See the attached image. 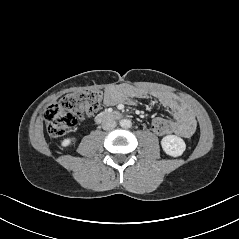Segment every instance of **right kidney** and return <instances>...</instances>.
Returning a JSON list of instances; mask_svg holds the SVG:
<instances>
[{"mask_svg": "<svg viewBox=\"0 0 239 239\" xmlns=\"http://www.w3.org/2000/svg\"><path fill=\"white\" fill-rule=\"evenodd\" d=\"M76 141V138L74 137H71V138H66L64 139L62 142H61V146L62 147H67L69 145H71L73 142Z\"/></svg>", "mask_w": 239, "mask_h": 239, "instance_id": "right-kidney-1", "label": "right kidney"}]
</instances>
